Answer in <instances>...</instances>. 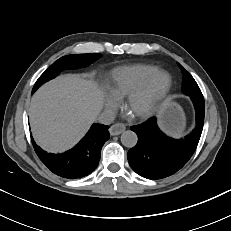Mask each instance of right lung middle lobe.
Returning <instances> with one entry per match:
<instances>
[{"mask_svg":"<svg viewBox=\"0 0 231 231\" xmlns=\"http://www.w3.org/2000/svg\"><path fill=\"white\" fill-rule=\"evenodd\" d=\"M101 54H73L67 55L53 63L36 81L32 93L36 91L44 82L55 78L64 69H75L85 67L96 61Z\"/></svg>","mask_w":231,"mask_h":231,"instance_id":"obj_1","label":"right lung middle lobe"}]
</instances>
